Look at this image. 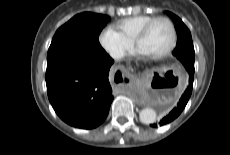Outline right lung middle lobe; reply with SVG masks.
<instances>
[{
	"label": "right lung middle lobe",
	"instance_id": "right-lung-middle-lobe-1",
	"mask_svg": "<svg viewBox=\"0 0 230 155\" xmlns=\"http://www.w3.org/2000/svg\"><path fill=\"white\" fill-rule=\"evenodd\" d=\"M110 17L80 13L61 26L48 50L47 64L65 59H96L107 55L99 43V34Z\"/></svg>",
	"mask_w": 230,
	"mask_h": 155
}]
</instances>
